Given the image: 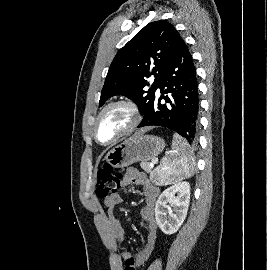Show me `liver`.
<instances>
[{
  "instance_id": "1",
  "label": "liver",
  "mask_w": 267,
  "mask_h": 270,
  "mask_svg": "<svg viewBox=\"0 0 267 270\" xmlns=\"http://www.w3.org/2000/svg\"><path fill=\"white\" fill-rule=\"evenodd\" d=\"M149 129H151V128H148V127L147 128H142L141 130H139L138 132H136L133 137L140 136V135L144 134L145 132H147Z\"/></svg>"
}]
</instances>
